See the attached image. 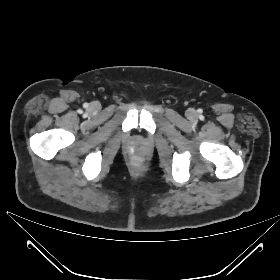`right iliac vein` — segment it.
<instances>
[{
  "mask_svg": "<svg viewBox=\"0 0 280 280\" xmlns=\"http://www.w3.org/2000/svg\"><path fill=\"white\" fill-rule=\"evenodd\" d=\"M90 108L92 111H98L100 109V104L97 102H94L91 104Z\"/></svg>",
  "mask_w": 280,
  "mask_h": 280,
  "instance_id": "1",
  "label": "right iliac vein"
}]
</instances>
